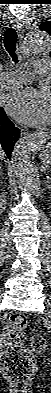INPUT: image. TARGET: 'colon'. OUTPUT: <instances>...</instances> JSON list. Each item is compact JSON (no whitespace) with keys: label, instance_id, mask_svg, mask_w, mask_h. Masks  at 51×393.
I'll return each instance as SVG.
<instances>
[{"label":"colon","instance_id":"obj_1","mask_svg":"<svg viewBox=\"0 0 51 393\" xmlns=\"http://www.w3.org/2000/svg\"><path fill=\"white\" fill-rule=\"evenodd\" d=\"M27 324L28 320L24 314H12L4 328L1 343L3 371L9 380L20 388L31 379L35 369L34 355L23 345V331ZM30 342L32 349L37 353L46 349V339L42 335H34Z\"/></svg>","mask_w":51,"mask_h":393}]
</instances>
